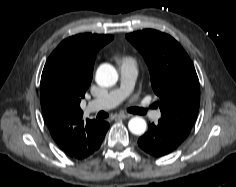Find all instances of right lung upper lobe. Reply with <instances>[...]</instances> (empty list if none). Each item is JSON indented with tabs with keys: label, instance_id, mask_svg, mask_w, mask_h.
Masks as SVG:
<instances>
[{
	"label": "right lung upper lobe",
	"instance_id": "right-lung-upper-lobe-1",
	"mask_svg": "<svg viewBox=\"0 0 236 187\" xmlns=\"http://www.w3.org/2000/svg\"><path fill=\"white\" fill-rule=\"evenodd\" d=\"M112 39L98 34L69 37L52 52L42 72L41 107L50 134L76 159L90 154L101 129V120L82 119L80 102L92 80L96 53Z\"/></svg>",
	"mask_w": 236,
	"mask_h": 187
}]
</instances>
